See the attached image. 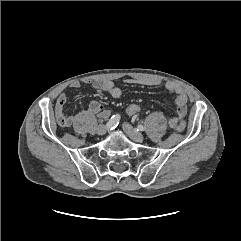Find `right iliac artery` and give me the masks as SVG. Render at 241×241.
Here are the masks:
<instances>
[{
    "instance_id": "obj_1",
    "label": "right iliac artery",
    "mask_w": 241,
    "mask_h": 241,
    "mask_svg": "<svg viewBox=\"0 0 241 241\" xmlns=\"http://www.w3.org/2000/svg\"><path fill=\"white\" fill-rule=\"evenodd\" d=\"M120 120V115L119 114H115L113 115L110 120L107 122V127L109 129H114L115 127H117L118 123Z\"/></svg>"
}]
</instances>
